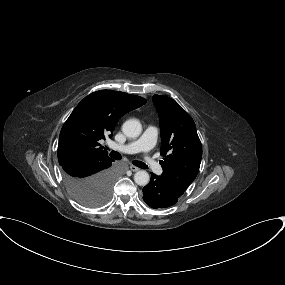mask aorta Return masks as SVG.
<instances>
[{"label": "aorta", "mask_w": 285, "mask_h": 285, "mask_svg": "<svg viewBox=\"0 0 285 285\" xmlns=\"http://www.w3.org/2000/svg\"><path fill=\"white\" fill-rule=\"evenodd\" d=\"M122 131L127 137L135 138L141 134L142 125L140 121L137 119H129L124 122L122 126ZM149 180H150V176L144 170L137 171L134 175L135 183L140 186L147 185L149 183Z\"/></svg>", "instance_id": "1"}]
</instances>
